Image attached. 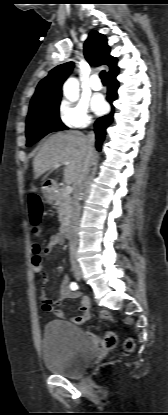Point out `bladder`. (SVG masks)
Masks as SVG:
<instances>
[{
	"instance_id": "31cf9c89",
	"label": "bladder",
	"mask_w": 168,
	"mask_h": 415,
	"mask_svg": "<svg viewBox=\"0 0 168 415\" xmlns=\"http://www.w3.org/2000/svg\"><path fill=\"white\" fill-rule=\"evenodd\" d=\"M42 353L49 371L74 378L81 376L92 363L96 348L79 327L53 320L44 327Z\"/></svg>"
}]
</instances>
